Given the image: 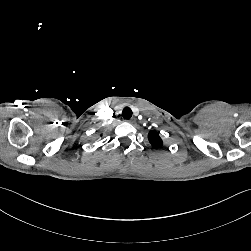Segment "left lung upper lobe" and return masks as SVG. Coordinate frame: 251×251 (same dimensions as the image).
Wrapping results in <instances>:
<instances>
[{
	"label": "left lung upper lobe",
	"instance_id": "obj_1",
	"mask_svg": "<svg viewBox=\"0 0 251 251\" xmlns=\"http://www.w3.org/2000/svg\"><path fill=\"white\" fill-rule=\"evenodd\" d=\"M148 139L153 147L159 148L162 146L163 142L157 132L155 131L149 132Z\"/></svg>",
	"mask_w": 251,
	"mask_h": 251
}]
</instances>
